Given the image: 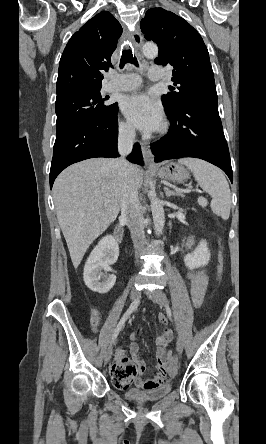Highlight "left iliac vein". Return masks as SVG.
<instances>
[{"instance_id":"4c4485c4","label":"left iliac vein","mask_w":266,"mask_h":444,"mask_svg":"<svg viewBox=\"0 0 266 444\" xmlns=\"http://www.w3.org/2000/svg\"><path fill=\"white\" fill-rule=\"evenodd\" d=\"M148 295L158 305L168 309V300L165 293L162 290H156L152 293H149ZM183 347H184L183 340L179 337L176 342V351L179 355L182 354Z\"/></svg>"}]
</instances>
